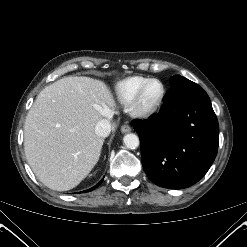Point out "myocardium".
<instances>
[{
    "instance_id": "obj_1",
    "label": "myocardium",
    "mask_w": 247,
    "mask_h": 247,
    "mask_svg": "<svg viewBox=\"0 0 247 247\" xmlns=\"http://www.w3.org/2000/svg\"><path fill=\"white\" fill-rule=\"evenodd\" d=\"M152 83H158L161 85V89H162L161 95L154 105H152L151 107H148V108H144L141 105L142 96H143L145 90L147 89V87L149 85H151ZM165 95H166V88H165L164 83L161 80L156 79V78L149 79L138 89L134 98L132 99L131 103L129 104L130 113L132 114V116H134L136 118H148V117L152 116L161 107V105L164 101Z\"/></svg>"
}]
</instances>
